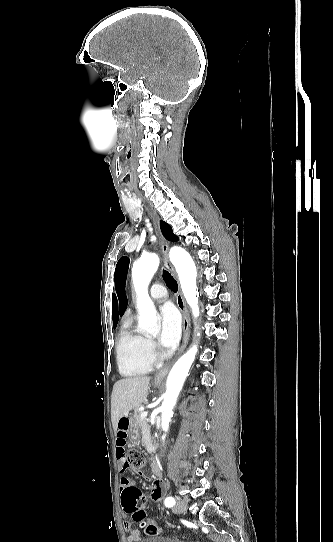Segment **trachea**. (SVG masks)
I'll use <instances>...</instances> for the list:
<instances>
[{"mask_svg": "<svg viewBox=\"0 0 333 542\" xmlns=\"http://www.w3.org/2000/svg\"><path fill=\"white\" fill-rule=\"evenodd\" d=\"M163 278H164L166 284L168 285V287L171 290L177 291L178 285H177L176 280H174V278L171 276V274L169 272H167L166 270L163 271Z\"/></svg>", "mask_w": 333, "mask_h": 542, "instance_id": "3493384b", "label": "trachea"}]
</instances>
